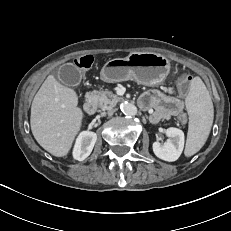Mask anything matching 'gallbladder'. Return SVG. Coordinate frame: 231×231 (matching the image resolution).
I'll list each match as a JSON object with an SVG mask.
<instances>
[{"mask_svg":"<svg viewBox=\"0 0 231 231\" xmlns=\"http://www.w3.org/2000/svg\"><path fill=\"white\" fill-rule=\"evenodd\" d=\"M57 77L66 86L74 87L81 82V73L73 64H65L57 71Z\"/></svg>","mask_w":231,"mask_h":231,"instance_id":"obj_1","label":"gallbladder"}]
</instances>
